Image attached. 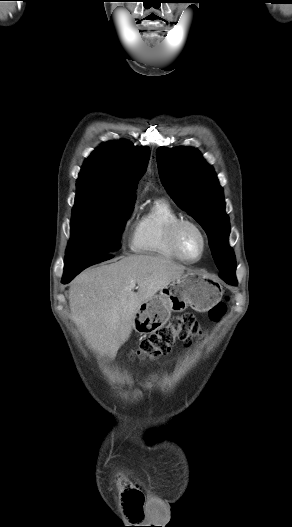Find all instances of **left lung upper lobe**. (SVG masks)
I'll return each instance as SVG.
<instances>
[{"mask_svg": "<svg viewBox=\"0 0 292 527\" xmlns=\"http://www.w3.org/2000/svg\"><path fill=\"white\" fill-rule=\"evenodd\" d=\"M156 157L165 189L205 230L220 274L235 276V255L228 243L229 218L214 169L191 147H160Z\"/></svg>", "mask_w": 292, "mask_h": 527, "instance_id": "1", "label": "left lung upper lobe"}]
</instances>
